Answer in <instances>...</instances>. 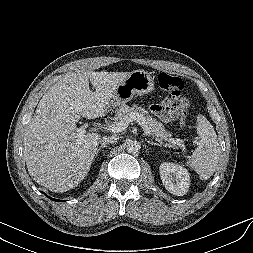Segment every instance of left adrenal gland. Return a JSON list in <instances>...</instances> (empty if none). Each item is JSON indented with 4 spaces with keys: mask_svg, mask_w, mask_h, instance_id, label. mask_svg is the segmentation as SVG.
Masks as SVG:
<instances>
[{
    "mask_svg": "<svg viewBox=\"0 0 253 253\" xmlns=\"http://www.w3.org/2000/svg\"><path fill=\"white\" fill-rule=\"evenodd\" d=\"M147 142H148V144L156 145V146L161 147V144H159V143H156V142H153V141H147Z\"/></svg>",
    "mask_w": 253,
    "mask_h": 253,
    "instance_id": "obj_1",
    "label": "left adrenal gland"
}]
</instances>
